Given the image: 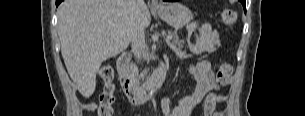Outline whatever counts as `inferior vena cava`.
Returning <instances> with one entry per match:
<instances>
[{
    "label": "inferior vena cava",
    "instance_id": "obj_1",
    "mask_svg": "<svg viewBox=\"0 0 305 116\" xmlns=\"http://www.w3.org/2000/svg\"><path fill=\"white\" fill-rule=\"evenodd\" d=\"M130 4L136 19L139 17L140 10L144 7L143 0H130ZM144 42V33L140 25H137L134 29L132 39H131V48L136 59H139L142 52V46Z\"/></svg>",
    "mask_w": 305,
    "mask_h": 116
}]
</instances>
